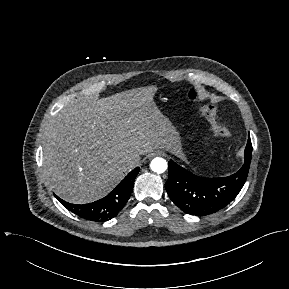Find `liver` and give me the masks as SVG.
Returning a JSON list of instances; mask_svg holds the SVG:
<instances>
[{
    "mask_svg": "<svg viewBox=\"0 0 289 289\" xmlns=\"http://www.w3.org/2000/svg\"><path fill=\"white\" fill-rule=\"evenodd\" d=\"M156 91L149 86L76 100L50 121L42 137L44 168L59 197L75 204L98 200L141 155L159 148L177 152L178 133L155 105Z\"/></svg>",
    "mask_w": 289,
    "mask_h": 289,
    "instance_id": "liver-1",
    "label": "liver"
}]
</instances>
